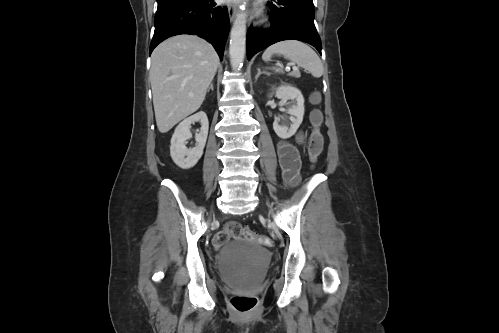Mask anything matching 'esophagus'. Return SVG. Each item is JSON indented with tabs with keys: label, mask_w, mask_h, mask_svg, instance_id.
I'll use <instances>...</instances> for the list:
<instances>
[{
	"label": "esophagus",
	"mask_w": 499,
	"mask_h": 333,
	"mask_svg": "<svg viewBox=\"0 0 499 333\" xmlns=\"http://www.w3.org/2000/svg\"><path fill=\"white\" fill-rule=\"evenodd\" d=\"M236 12H237L236 5L234 3L229 4V6H228V14H229V18H230L231 22L234 21L235 16H236Z\"/></svg>",
	"instance_id": "obj_1"
}]
</instances>
